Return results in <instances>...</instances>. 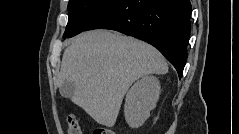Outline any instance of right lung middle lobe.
<instances>
[{
    "mask_svg": "<svg viewBox=\"0 0 239 134\" xmlns=\"http://www.w3.org/2000/svg\"><path fill=\"white\" fill-rule=\"evenodd\" d=\"M117 0H70L69 17L63 38L82 32L86 26L104 9Z\"/></svg>",
    "mask_w": 239,
    "mask_h": 134,
    "instance_id": "1",
    "label": "right lung middle lobe"
}]
</instances>
